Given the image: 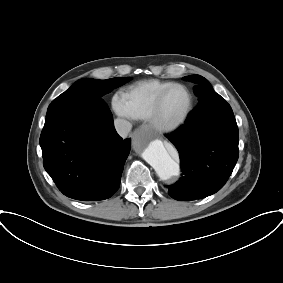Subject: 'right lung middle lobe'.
Here are the masks:
<instances>
[{
    "mask_svg": "<svg viewBox=\"0 0 283 283\" xmlns=\"http://www.w3.org/2000/svg\"><path fill=\"white\" fill-rule=\"evenodd\" d=\"M129 79L130 77L107 80L81 79L51 102L46 117L65 110L79 111L98 102L105 103L101 97Z\"/></svg>",
    "mask_w": 283,
    "mask_h": 283,
    "instance_id": "dd1d6c3e",
    "label": "right lung middle lobe"
}]
</instances>
